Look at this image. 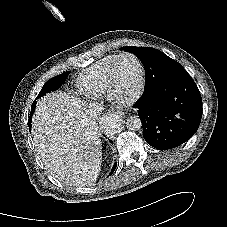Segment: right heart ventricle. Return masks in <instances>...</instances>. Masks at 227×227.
<instances>
[{"label":"right heart ventricle","instance_id":"e07e8e85","mask_svg":"<svg viewBox=\"0 0 227 227\" xmlns=\"http://www.w3.org/2000/svg\"><path fill=\"white\" fill-rule=\"evenodd\" d=\"M117 55L106 56L81 73L76 81L78 91L89 99L107 95V74Z\"/></svg>","mask_w":227,"mask_h":227}]
</instances>
